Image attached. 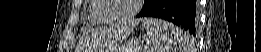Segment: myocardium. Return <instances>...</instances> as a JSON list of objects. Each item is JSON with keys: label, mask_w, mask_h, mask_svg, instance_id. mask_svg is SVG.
<instances>
[{"label": "myocardium", "mask_w": 261, "mask_h": 52, "mask_svg": "<svg viewBox=\"0 0 261 52\" xmlns=\"http://www.w3.org/2000/svg\"><path fill=\"white\" fill-rule=\"evenodd\" d=\"M97 1L99 2L100 6L96 11V16L102 24H121L132 20L139 12L140 4H141V0H133V4L130 11L122 18L117 20H104L101 18V13L107 8V2L105 0H97Z\"/></svg>", "instance_id": "f54148a6"}]
</instances>
